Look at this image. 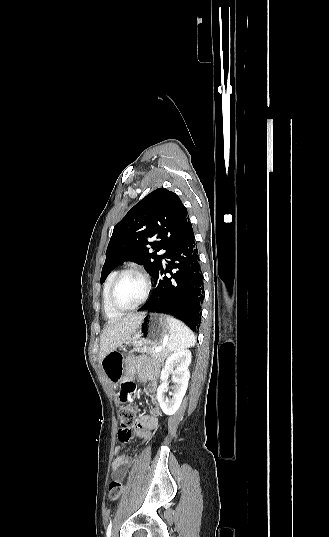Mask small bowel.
Instances as JSON below:
<instances>
[{
	"label": "small bowel",
	"mask_w": 329,
	"mask_h": 537,
	"mask_svg": "<svg viewBox=\"0 0 329 537\" xmlns=\"http://www.w3.org/2000/svg\"><path fill=\"white\" fill-rule=\"evenodd\" d=\"M159 369L157 365H154L150 361L142 357L129 358L126 361V377L120 385V391L118 393L119 402L121 405L126 406L130 400L136 396L137 386L135 382L130 381L134 377H138L141 381L147 382L146 391L151 395L157 394L156 379L158 377ZM160 415V408L156 404L152 408L151 412L141 417L138 425L131 431L121 430L118 434L119 440L127 444L130 440L136 436L141 441H146L150 436V431L158 426V417ZM122 447H115V454L117 455L112 464V475L116 478L122 479L126 475V468L129 466L133 458L127 455L121 454Z\"/></svg>",
	"instance_id": "small-bowel-1"
}]
</instances>
